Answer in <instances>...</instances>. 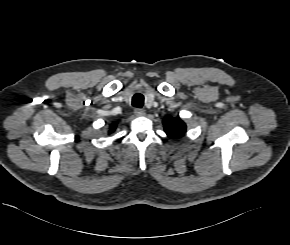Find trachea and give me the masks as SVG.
I'll list each match as a JSON object with an SVG mask.
<instances>
[{
  "label": "trachea",
  "mask_w": 290,
  "mask_h": 245,
  "mask_svg": "<svg viewBox=\"0 0 290 245\" xmlns=\"http://www.w3.org/2000/svg\"><path fill=\"white\" fill-rule=\"evenodd\" d=\"M144 104V96L142 94H135L132 98V105L137 108H141Z\"/></svg>",
  "instance_id": "3493384b"
}]
</instances>
